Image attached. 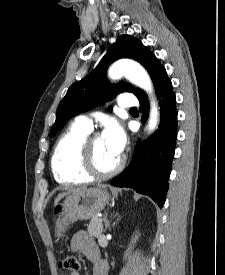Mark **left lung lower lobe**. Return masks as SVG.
Returning a JSON list of instances; mask_svg holds the SVG:
<instances>
[{
	"instance_id": "obj_1",
	"label": "left lung lower lobe",
	"mask_w": 225,
	"mask_h": 275,
	"mask_svg": "<svg viewBox=\"0 0 225 275\" xmlns=\"http://www.w3.org/2000/svg\"><path fill=\"white\" fill-rule=\"evenodd\" d=\"M153 83L161 107L159 128L146 141H138L130 165L111 184L133 188L150 196L159 207H163L177 139L176 97L165 69ZM137 98L142 120H145L149 111L147 95L143 93Z\"/></svg>"
}]
</instances>
